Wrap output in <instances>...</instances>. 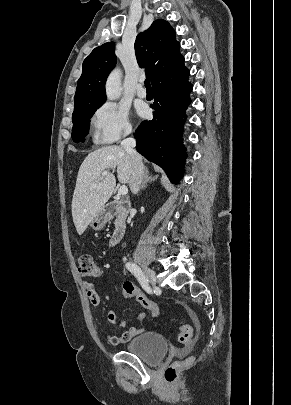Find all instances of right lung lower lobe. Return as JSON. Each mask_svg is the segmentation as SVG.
<instances>
[{
    "mask_svg": "<svg viewBox=\"0 0 291 405\" xmlns=\"http://www.w3.org/2000/svg\"><path fill=\"white\" fill-rule=\"evenodd\" d=\"M188 69L153 86V120L143 121L135 132L136 149L159 165L178 184L187 157L183 145L186 109L191 102L192 85Z\"/></svg>",
    "mask_w": 291,
    "mask_h": 405,
    "instance_id": "98d812e1",
    "label": "right lung lower lobe"
}]
</instances>
